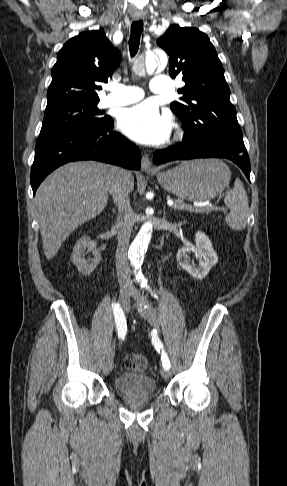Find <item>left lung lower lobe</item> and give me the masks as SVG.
Returning <instances> with one entry per match:
<instances>
[{"instance_id": "left-lung-lower-lobe-1", "label": "left lung lower lobe", "mask_w": 287, "mask_h": 486, "mask_svg": "<svg viewBox=\"0 0 287 486\" xmlns=\"http://www.w3.org/2000/svg\"><path fill=\"white\" fill-rule=\"evenodd\" d=\"M226 158L236 163L250 180V162L244 144L214 139L205 141L199 136L184 135L183 141L176 146L158 150L154 153L155 164L190 160L195 158Z\"/></svg>"}]
</instances>
